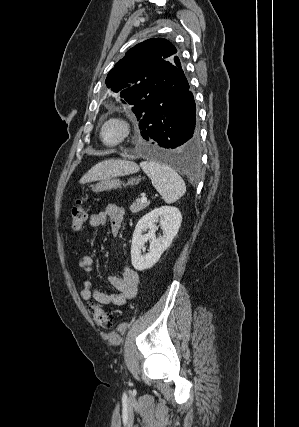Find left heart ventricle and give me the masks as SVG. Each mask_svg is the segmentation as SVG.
<instances>
[{"label":"left heart ventricle","mask_w":299,"mask_h":427,"mask_svg":"<svg viewBox=\"0 0 299 427\" xmlns=\"http://www.w3.org/2000/svg\"><path fill=\"white\" fill-rule=\"evenodd\" d=\"M120 132L121 128L119 124L116 122H111L105 126L103 136L107 142H113L118 139Z\"/></svg>","instance_id":"left-heart-ventricle-1"}]
</instances>
